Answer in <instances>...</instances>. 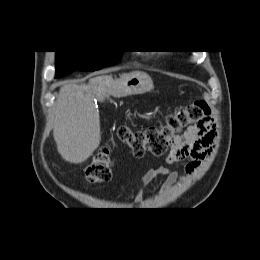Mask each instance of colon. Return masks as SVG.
<instances>
[{"instance_id":"1","label":"colon","mask_w":260,"mask_h":260,"mask_svg":"<svg viewBox=\"0 0 260 260\" xmlns=\"http://www.w3.org/2000/svg\"><path fill=\"white\" fill-rule=\"evenodd\" d=\"M209 114L207 103L196 100L167 114L163 123L149 126L145 130H133L127 125L120 126L116 136L137 158L143 157L146 153L160 157L172 146L184 128L208 119ZM111 163L109 148L101 147L85 169L86 181L93 185L108 181L111 178Z\"/></svg>"}]
</instances>
